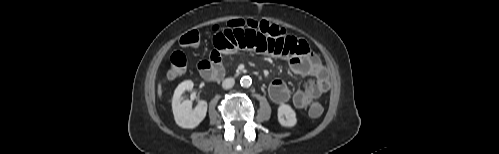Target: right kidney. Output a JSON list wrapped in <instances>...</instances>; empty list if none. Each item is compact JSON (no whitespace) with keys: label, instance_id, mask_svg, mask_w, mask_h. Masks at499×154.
<instances>
[{"label":"right kidney","instance_id":"1","mask_svg":"<svg viewBox=\"0 0 499 154\" xmlns=\"http://www.w3.org/2000/svg\"><path fill=\"white\" fill-rule=\"evenodd\" d=\"M193 82L186 80L178 85L172 99V110L174 119L178 126L182 128L192 129L197 127L205 118L207 113V102L202 100L192 110V102L188 99H183L182 94L185 91L193 89Z\"/></svg>","mask_w":499,"mask_h":154}]
</instances>
